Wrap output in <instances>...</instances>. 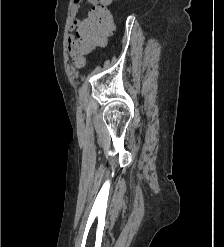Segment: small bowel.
Returning a JSON list of instances; mask_svg holds the SVG:
<instances>
[{"instance_id":"obj_1","label":"small bowel","mask_w":224,"mask_h":247,"mask_svg":"<svg viewBox=\"0 0 224 247\" xmlns=\"http://www.w3.org/2000/svg\"><path fill=\"white\" fill-rule=\"evenodd\" d=\"M89 4L92 8L98 5V0H73L68 22V29L73 34L68 37V50L72 55H78L84 50L78 39V34L85 19L79 17V11L83 5Z\"/></svg>"}]
</instances>
